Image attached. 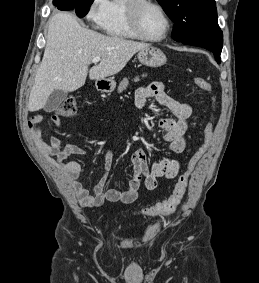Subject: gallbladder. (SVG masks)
<instances>
[{
  "mask_svg": "<svg viewBox=\"0 0 259 283\" xmlns=\"http://www.w3.org/2000/svg\"><path fill=\"white\" fill-rule=\"evenodd\" d=\"M67 92L62 90H54L46 101L43 109L46 112L55 111L59 105L66 99Z\"/></svg>",
  "mask_w": 259,
  "mask_h": 283,
  "instance_id": "1",
  "label": "gallbladder"
}]
</instances>
